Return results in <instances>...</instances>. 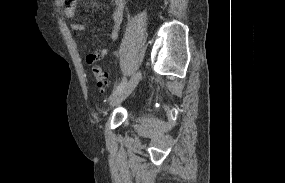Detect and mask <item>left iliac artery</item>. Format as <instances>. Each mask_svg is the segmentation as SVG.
Returning <instances> with one entry per match:
<instances>
[{
  "label": "left iliac artery",
  "mask_w": 285,
  "mask_h": 183,
  "mask_svg": "<svg viewBox=\"0 0 285 183\" xmlns=\"http://www.w3.org/2000/svg\"><path fill=\"white\" fill-rule=\"evenodd\" d=\"M126 84V79H122V81L118 84V86H116V88L114 89L113 91V96L118 92L120 91Z\"/></svg>",
  "instance_id": "44dca946"
}]
</instances>
